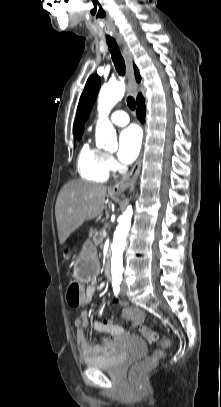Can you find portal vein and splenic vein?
I'll return each instance as SVG.
<instances>
[{"label": "portal vein and splenic vein", "mask_w": 221, "mask_h": 407, "mask_svg": "<svg viewBox=\"0 0 221 407\" xmlns=\"http://www.w3.org/2000/svg\"><path fill=\"white\" fill-rule=\"evenodd\" d=\"M103 236H104V237H106V236H107V232H106V231H104Z\"/></svg>", "instance_id": "18ae733b"}]
</instances>
